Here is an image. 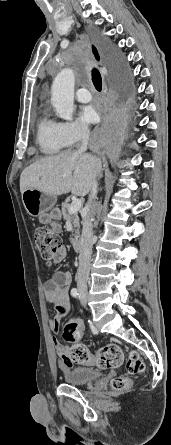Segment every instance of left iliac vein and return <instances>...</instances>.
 I'll list each match as a JSON object with an SVG mask.
<instances>
[{"mask_svg":"<svg viewBox=\"0 0 171 445\" xmlns=\"http://www.w3.org/2000/svg\"><path fill=\"white\" fill-rule=\"evenodd\" d=\"M85 304V302L84 301H82V305H84Z\"/></svg>","mask_w":171,"mask_h":445,"instance_id":"1","label":"left iliac vein"}]
</instances>
